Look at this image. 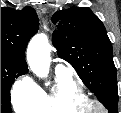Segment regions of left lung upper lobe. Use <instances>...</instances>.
<instances>
[{
	"label": "left lung upper lobe",
	"instance_id": "obj_1",
	"mask_svg": "<svg viewBox=\"0 0 121 113\" xmlns=\"http://www.w3.org/2000/svg\"><path fill=\"white\" fill-rule=\"evenodd\" d=\"M52 42L84 84L110 113H117L118 89L112 45L106 29L89 8L74 7L53 14Z\"/></svg>",
	"mask_w": 121,
	"mask_h": 113
}]
</instances>
